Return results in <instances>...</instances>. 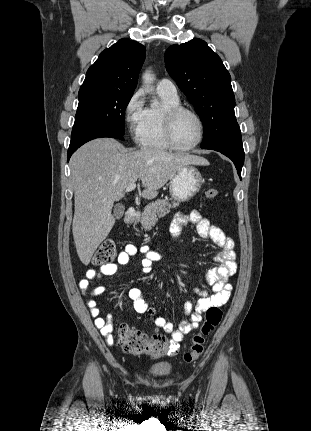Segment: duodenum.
<instances>
[{
    "mask_svg": "<svg viewBox=\"0 0 311 431\" xmlns=\"http://www.w3.org/2000/svg\"><path fill=\"white\" fill-rule=\"evenodd\" d=\"M138 214H139V212H138V210L136 208L129 207L126 210L125 215H124L125 222L127 224H132L137 219Z\"/></svg>",
    "mask_w": 311,
    "mask_h": 431,
    "instance_id": "410a0bca",
    "label": "duodenum"
}]
</instances>
